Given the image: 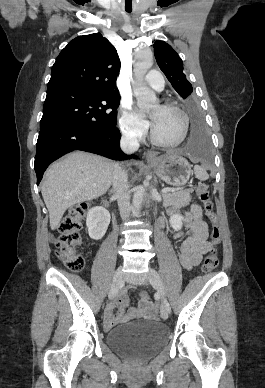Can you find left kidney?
I'll return each mask as SVG.
<instances>
[{"mask_svg": "<svg viewBox=\"0 0 265 388\" xmlns=\"http://www.w3.org/2000/svg\"><path fill=\"white\" fill-rule=\"evenodd\" d=\"M183 216H180V214H174V216H171L170 218V226L175 230V232H178V230H181L182 224H183Z\"/></svg>", "mask_w": 265, "mask_h": 388, "instance_id": "1", "label": "left kidney"}]
</instances>
